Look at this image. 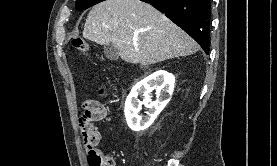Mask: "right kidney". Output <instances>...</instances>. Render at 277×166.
<instances>
[{
    "label": "right kidney",
    "mask_w": 277,
    "mask_h": 166,
    "mask_svg": "<svg viewBox=\"0 0 277 166\" xmlns=\"http://www.w3.org/2000/svg\"><path fill=\"white\" fill-rule=\"evenodd\" d=\"M174 77L166 71H157L137 83L131 90L125 102V117L128 126L133 131H141L148 128L160 112L170 101L174 89ZM156 90L157 100H151V92ZM143 95V101L138 96ZM142 104L149 108L146 116H139L138 113Z\"/></svg>",
    "instance_id": "obj_1"
}]
</instances>
